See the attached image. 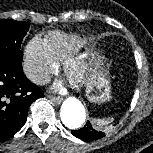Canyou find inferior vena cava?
Here are the masks:
<instances>
[{
	"instance_id": "obj_1",
	"label": "inferior vena cava",
	"mask_w": 153,
	"mask_h": 153,
	"mask_svg": "<svg viewBox=\"0 0 153 153\" xmlns=\"http://www.w3.org/2000/svg\"><path fill=\"white\" fill-rule=\"evenodd\" d=\"M26 76L38 85L47 84L50 81V76L46 73H41L33 70H26Z\"/></svg>"
}]
</instances>
